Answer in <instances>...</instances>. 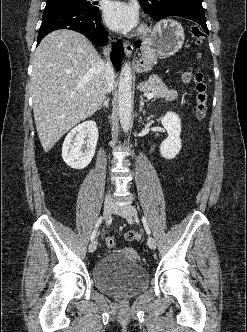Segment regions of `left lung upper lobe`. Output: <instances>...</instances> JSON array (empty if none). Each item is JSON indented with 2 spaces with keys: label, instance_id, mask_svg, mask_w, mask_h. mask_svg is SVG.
Here are the masks:
<instances>
[{
  "label": "left lung upper lobe",
  "instance_id": "left-lung-upper-lobe-1",
  "mask_svg": "<svg viewBox=\"0 0 247 332\" xmlns=\"http://www.w3.org/2000/svg\"><path fill=\"white\" fill-rule=\"evenodd\" d=\"M142 8L155 20L175 9L203 10L202 0H139Z\"/></svg>",
  "mask_w": 247,
  "mask_h": 332
}]
</instances>
